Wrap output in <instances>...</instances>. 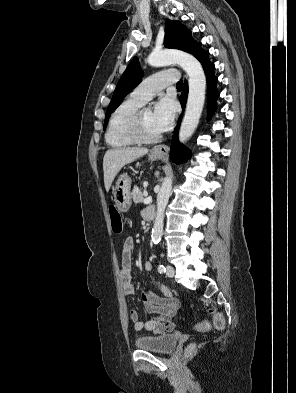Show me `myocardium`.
<instances>
[{
	"instance_id": "1",
	"label": "myocardium",
	"mask_w": 296,
	"mask_h": 393,
	"mask_svg": "<svg viewBox=\"0 0 296 393\" xmlns=\"http://www.w3.org/2000/svg\"><path fill=\"white\" fill-rule=\"evenodd\" d=\"M143 110H138L133 116L129 127L128 134L129 137L137 144H151L160 140V134L155 136H147L143 131L141 114Z\"/></svg>"
}]
</instances>
